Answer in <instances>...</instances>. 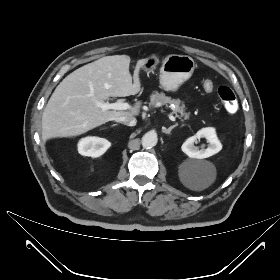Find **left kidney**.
<instances>
[{"instance_id": "obj_1", "label": "left kidney", "mask_w": 280, "mask_h": 280, "mask_svg": "<svg viewBox=\"0 0 280 280\" xmlns=\"http://www.w3.org/2000/svg\"><path fill=\"white\" fill-rule=\"evenodd\" d=\"M205 138L207 142L209 143L208 147L199 149L194 145V143L197 141V139ZM182 151L188 155L190 158H196V159H204L208 158L222 149V145L220 141L217 138L215 129L212 127H206L199 130L194 136L189 137L181 147ZM210 180V179H209ZM185 182L190 185L194 186L197 185V181L194 179L186 178ZM207 182H204L200 185H206Z\"/></svg>"}]
</instances>
